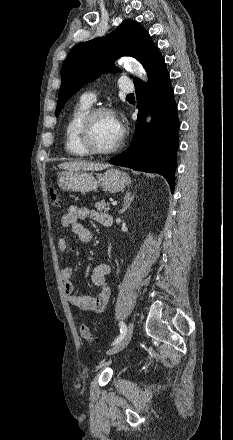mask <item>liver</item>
I'll list each match as a JSON object with an SVG mask.
<instances>
[{"label":"liver","instance_id":"1","mask_svg":"<svg viewBox=\"0 0 233 440\" xmlns=\"http://www.w3.org/2000/svg\"><path fill=\"white\" fill-rule=\"evenodd\" d=\"M58 167L65 171H99L109 167V164L93 163L87 161H72L61 163L58 165Z\"/></svg>","mask_w":233,"mask_h":440}]
</instances>
